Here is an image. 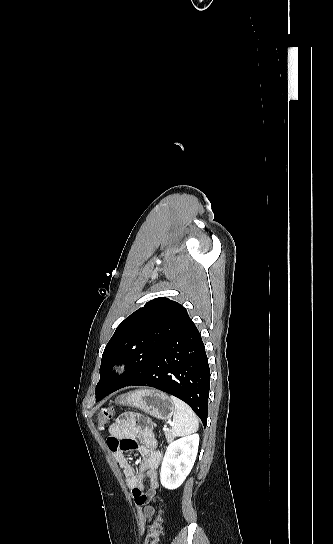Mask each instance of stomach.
Wrapping results in <instances>:
<instances>
[{
	"label": "stomach",
	"mask_w": 333,
	"mask_h": 544,
	"mask_svg": "<svg viewBox=\"0 0 333 544\" xmlns=\"http://www.w3.org/2000/svg\"><path fill=\"white\" fill-rule=\"evenodd\" d=\"M117 403L137 408L161 420H169L175 411L171 398L154 389H140L121 395Z\"/></svg>",
	"instance_id": "0dacf381"
}]
</instances>
